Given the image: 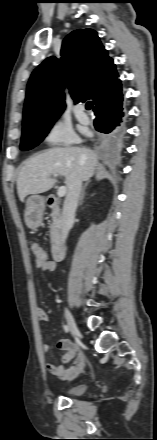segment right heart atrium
<instances>
[{
	"mask_svg": "<svg viewBox=\"0 0 157 440\" xmlns=\"http://www.w3.org/2000/svg\"><path fill=\"white\" fill-rule=\"evenodd\" d=\"M43 141L50 146L72 145L79 142V137L68 121L53 118L45 130Z\"/></svg>",
	"mask_w": 157,
	"mask_h": 440,
	"instance_id": "d8ad5b80",
	"label": "right heart atrium"
}]
</instances>
